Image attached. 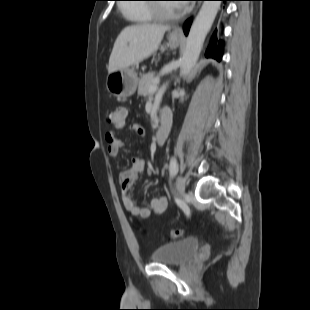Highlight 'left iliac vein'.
I'll return each instance as SVG.
<instances>
[{
    "label": "left iliac vein",
    "instance_id": "1",
    "mask_svg": "<svg viewBox=\"0 0 310 310\" xmlns=\"http://www.w3.org/2000/svg\"><path fill=\"white\" fill-rule=\"evenodd\" d=\"M176 190L179 195L185 193V180L182 177H178L176 180Z\"/></svg>",
    "mask_w": 310,
    "mask_h": 310
}]
</instances>
